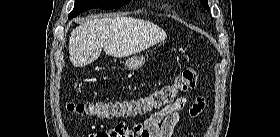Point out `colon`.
<instances>
[{"instance_id":"5ec220e1","label":"colon","mask_w":280,"mask_h":137,"mask_svg":"<svg viewBox=\"0 0 280 137\" xmlns=\"http://www.w3.org/2000/svg\"><path fill=\"white\" fill-rule=\"evenodd\" d=\"M198 79L197 71L189 68L178 75L172 83L158 88L150 95L127 100H97L70 103L67 109L72 113L86 117L113 118L144 115L150 110L172 101L178 92L194 89L197 86ZM113 136L119 137L121 135ZM124 136L136 137L135 134Z\"/></svg>"}]
</instances>
